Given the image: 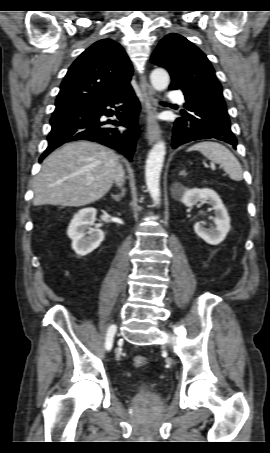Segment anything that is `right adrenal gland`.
Here are the masks:
<instances>
[{
  "label": "right adrenal gland",
  "instance_id": "right-adrenal-gland-1",
  "mask_svg": "<svg viewBox=\"0 0 270 453\" xmlns=\"http://www.w3.org/2000/svg\"><path fill=\"white\" fill-rule=\"evenodd\" d=\"M124 194H125V189L122 188L120 194H118V195L111 194V197H112V199L115 200L116 202H119V201L121 200V198L124 196Z\"/></svg>",
  "mask_w": 270,
  "mask_h": 453
}]
</instances>
